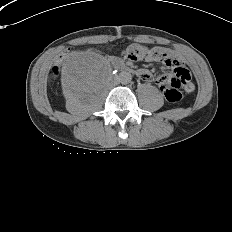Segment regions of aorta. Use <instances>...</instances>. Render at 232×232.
Wrapping results in <instances>:
<instances>
[{
  "label": "aorta",
  "mask_w": 232,
  "mask_h": 232,
  "mask_svg": "<svg viewBox=\"0 0 232 232\" xmlns=\"http://www.w3.org/2000/svg\"><path fill=\"white\" fill-rule=\"evenodd\" d=\"M131 81V75L127 72L121 73L120 74V82L122 84H127Z\"/></svg>",
  "instance_id": "1"
}]
</instances>
